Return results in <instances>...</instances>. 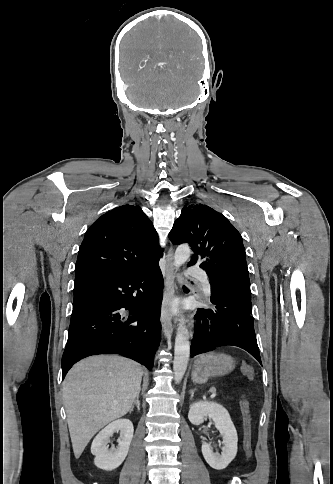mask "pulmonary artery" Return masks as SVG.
I'll return each instance as SVG.
<instances>
[{"instance_id": "e3ab8cb5", "label": "pulmonary artery", "mask_w": 333, "mask_h": 484, "mask_svg": "<svg viewBox=\"0 0 333 484\" xmlns=\"http://www.w3.org/2000/svg\"><path fill=\"white\" fill-rule=\"evenodd\" d=\"M191 273L200 280L206 295H210V281L208 276L203 271L195 268L191 269Z\"/></svg>"}]
</instances>
